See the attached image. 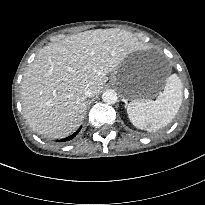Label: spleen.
I'll list each match as a JSON object with an SVG mask.
<instances>
[{
    "instance_id": "3e777b00",
    "label": "spleen",
    "mask_w": 205,
    "mask_h": 205,
    "mask_svg": "<svg viewBox=\"0 0 205 205\" xmlns=\"http://www.w3.org/2000/svg\"><path fill=\"white\" fill-rule=\"evenodd\" d=\"M182 89L178 75H170L166 79L164 91L156 100L132 101L127 105L129 120L138 129L155 131L162 128L178 113L182 104Z\"/></svg>"
}]
</instances>
